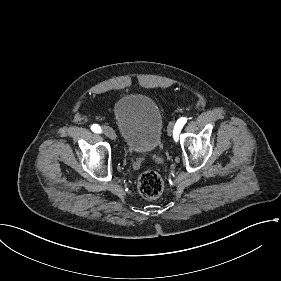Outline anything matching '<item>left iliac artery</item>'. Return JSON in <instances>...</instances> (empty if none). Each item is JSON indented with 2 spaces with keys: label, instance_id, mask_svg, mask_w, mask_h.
I'll list each match as a JSON object with an SVG mask.
<instances>
[{
  "label": "left iliac artery",
  "instance_id": "44dca946",
  "mask_svg": "<svg viewBox=\"0 0 281 281\" xmlns=\"http://www.w3.org/2000/svg\"><path fill=\"white\" fill-rule=\"evenodd\" d=\"M186 121H187L186 118L182 117V118L178 119V121L176 122L174 131H173V136L175 139L178 138V134L181 131L182 127L185 125Z\"/></svg>",
  "mask_w": 281,
  "mask_h": 281
}]
</instances>
